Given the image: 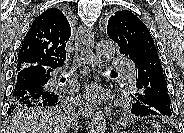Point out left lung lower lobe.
<instances>
[{"mask_svg":"<svg viewBox=\"0 0 184 133\" xmlns=\"http://www.w3.org/2000/svg\"><path fill=\"white\" fill-rule=\"evenodd\" d=\"M136 84L130 92L134 116H171V100L163 69L157 57H142L137 64Z\"/></svg>","mask_w":184,"mask_h":133,"instance_id":"obj_1","label":"left lung lower lobe"}]
</instances>
